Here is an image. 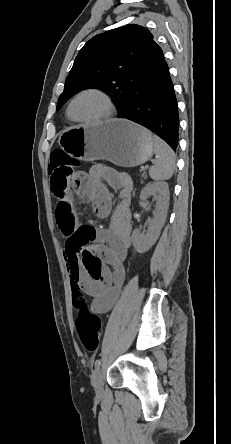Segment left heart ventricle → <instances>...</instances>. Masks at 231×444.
Returning a JSON list of instances; mask_svg holds the SVG:
<instances>
[{
  "mask_svg": "<svg viewBox=\"0 0 231 444\" xmlns=\"http://www.w3.org/2000/svg\"><path fill=\"white\" fill-rule=\"evenodd\" d=\"M72 111L76 118L91 120L106 112V104L99 95L86 93L74 102Z\"/></svg>",
  "mask_w": 231,
  "mask_h": 444,
  "instance_id": "1",
  "label": "left heart ventricle"
}]
</instances>
